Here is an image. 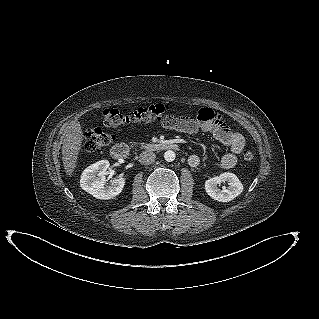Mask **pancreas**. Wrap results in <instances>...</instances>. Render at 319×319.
Listing matches in <instances>:
<instances>
[{
    "mask_svg": "<svg viewBox=\"0 0 319 319\" xmlns=\"http://www.w3.org/2000/svg\"><path fill=\"white\" fill-rule=\"evenodd\" d=\"M137 143H132V145L131 146H134V145H136Z\"/></svg>",
    "mask_w": 319,
    "mask_h": 319,
    "instance_id": "pancreas-1",
    "label": "pancreas"
}]
</instances>
